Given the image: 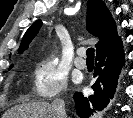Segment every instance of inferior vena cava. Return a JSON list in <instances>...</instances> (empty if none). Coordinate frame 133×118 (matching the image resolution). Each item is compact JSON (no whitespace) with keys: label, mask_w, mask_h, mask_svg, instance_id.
Returning a JSON list of instances; mask_svg holds the SVG:
<instances>
[{"label":"inferior vena cava","mask_w":133,"mask_h":118,"mask_svg":"<svg viewBox=\"0 0 133 118\" xmlns=\"http://www.w3.org/2000/svg\"><path fill=\"white\" fill-rule=\"evenodd\" d=\"M56 118H66L65 103L61 99H56L52 103Z\"/></svg>","instance_id":"obj_1"}]
</instances>
